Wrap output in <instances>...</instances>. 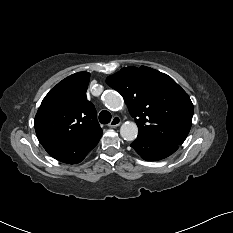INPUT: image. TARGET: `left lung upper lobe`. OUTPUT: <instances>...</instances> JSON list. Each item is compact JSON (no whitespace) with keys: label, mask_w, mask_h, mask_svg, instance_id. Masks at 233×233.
Wrapping results in <instances>:
<instances>
[{"label":"left lung upper lobe","mask_w":233,"mask_h":233,"mask_svg":"<svg viewBox=\"0 0 233 233\" xmlns=\"http://www.w3.org/2000/svg\"><path fill=\"white\" fill-rule=\"evenodd\" d=\"M107 84L124 98L137 123L138 136L181 145L192 124L193 104L168 75L131 66L107 77Z\"/></svg>","instance_id":"5c2ea615"}]
</instances>
